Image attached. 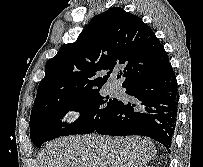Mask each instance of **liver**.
<instances>
[{"instance_id": "liver-1", "label": "liver", "mask_w": 203, "mask_h": 167, "mask_svg": "<svg viewBox=\"0 0 203 167\" xmlns=\"http://www.w3.org/2000/svg\"><path fill=\"white\" fill-rule=\"evenodd\" d=\"M156 153L142 137L69 136L49 142L37 167H145Z\"/></svg>"}]
</instances>
